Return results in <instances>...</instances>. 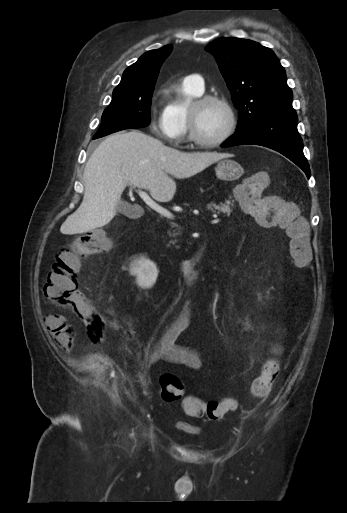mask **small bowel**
I'll list each match as a JSON object with an SVG mask.
<instances>
[{
  "label": "small bowel",
  "instance_id": "small-bowel-1",
  "mask_svg": "<svg viewBox=\"0 0 347 513\" xmlns=\"http://www.w3.org/2000/svg\"><path fill=\"white\" fill-rule=\"evenodd\" d=\"M191 317L192 307L188 302L184 310L168 325L159 342L145 348L144 353L148 363L164 360L193 370L202 367V359L195 350L176 342L179 335L188 326ZM46 326L59 349L65 352H70L73 349L74 330L62 316H47Z\"/></svg>",
  "mask_w": 347,
  "mask_h": 513
}]
</instances>
